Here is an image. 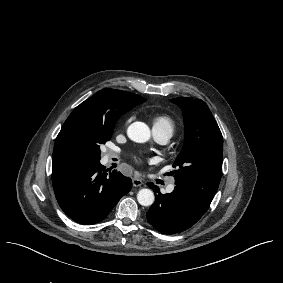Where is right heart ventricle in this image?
Wrapping results in <instances>:
<instances>
[{
    "instance_id": "e07e8e85",
    "label": "right heart ventricle",
    "mask_w": 283,
    "mask_h": 283,
    "mask_svg": "<svg viewBox=\"0 0 283 283\" xmlns=\"http://www.w3.org/2000/svg\"><path fill=\"white\" fill-rule=\"evenodd\" d=\"M153 130L161 133H165L169 138L174 134L176 130L175 122L167 116H157L152 121Z\"/></svg>"
}]
</instances>
